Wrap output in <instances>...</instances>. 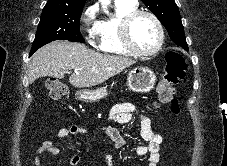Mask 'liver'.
Returning a JSON list of instances; mask_svg holds the SVG:
<instances>
[{
	"instance_id": "obj_1",
	"label": "liver",
	"mask_w": 227,
	"mask_h": 166,
	"mask_svg": "<svg viewBox=\"0 0 227 166\" xmlns=\"http://www.w3.org/2000/svg\"><path fill=\"white\" fill-rule=\"evenodd\" d=\"M134 63L127 57L102 54L80 43L54 41L34 53L28 79L30 83L47 76L62 79L74 70L70 84L86 88L107 81Z\"/></svg>"
}]
</instances>
